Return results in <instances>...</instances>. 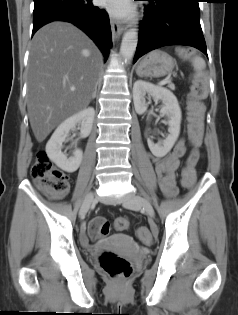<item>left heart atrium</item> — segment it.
Here are the masks:
<instances>
[{"mask_svg": "<svg viewBox=\"0 0 238 315\" xmlns=\"http://www.w3.org/2000/svg\"><path fill=\"white\" fill-rule=\"evenodd\" d=\"M101 3L117 16H126L130 12L129 0H101Z\"/></svg>", "mask_w": 238, "mask_h": 315, "instance_id": "left-heart-atrium-1", "label": "left heart atrium"}]
</instances>
